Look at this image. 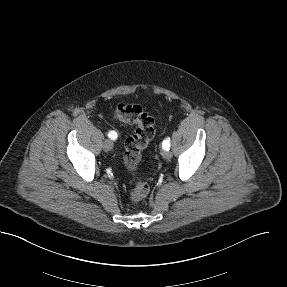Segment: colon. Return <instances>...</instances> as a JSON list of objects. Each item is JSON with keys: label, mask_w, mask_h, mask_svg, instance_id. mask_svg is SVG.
<instances>
[{"label": "colon", "mask_w": 287, "mask_h": 287, "mask_svg": "<svg viewBox=\"0 0 287 287\" xmlns=\"http://www.w3.org/2000/svg\"><path fill=\"white\" fill-rule=\"evenodd\" d=\"M115 117L121 122L136 126L134 134L125 141L123 155L126 168L129 172L135 173L141 160L142 151L154 136V119L141 106L124 103L117 105ZM148 192V184L142 180H136L131 190V199L140 201L147 196Z\"/></svg>", "instance_id": "1"}]
</instances>
